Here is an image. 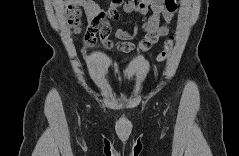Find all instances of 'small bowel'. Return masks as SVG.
I'll return each mask as SVG.
<instances>
[{"mask_svg":"<svg viewBox=\"0 0 239 156\" xmlns=\"http://www.w3.org/2000/svg\"><path fill=\"white\" fill-rule=\"evenodd\" d=\"M77 4L82 5L87 14L88 23H94L98 30L93 37L89 34L85 36V43L94 44L99 34L101 43L108 49L115 47L109 36L111 28L106 20H98V14L106 12L112 14L109 19H117L119 17V9L122 8L126 13H136L142 17L141 26L135 24L131 31L117 28L115 36L121 41L117 48L123 52H131L136 49L132 40L141 31L144 39L139 45L142 50L148 49L155 44L160 38L166 36L169 32V24L173 21L177 11L176 0H112L106 11L101 10L94 2L87 0H75Z\"/></svg>","mask_w":239,"mask_h":156,"instance_id":"1","label":"small bowel"}]
</instances>
